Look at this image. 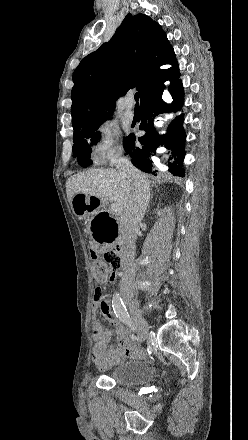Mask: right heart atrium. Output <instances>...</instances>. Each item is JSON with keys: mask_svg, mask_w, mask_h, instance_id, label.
I'll return each mask as SVG.
<instances>
[{"mask_svg": "<svg viewBox=\"0 0 248 440\" xmlns=\"http://www.w3.org/2000/svg\"><path fill=\"white\" fill-rule=\"evenodd\" d=\"M123 151L121 138L115 128L104 123L96 131L92 148V159L95 164L114 163Z\"/></svg>", "mask_w": 248, "mask_h": 440, "instance_id": "obj_1", "label": "right heart atrium"}]
</instances>
